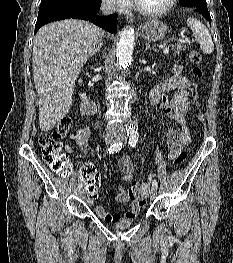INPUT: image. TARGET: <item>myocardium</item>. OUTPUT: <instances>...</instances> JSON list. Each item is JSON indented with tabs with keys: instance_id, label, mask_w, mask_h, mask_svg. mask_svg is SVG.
Listing matches in <instances>:
<instances>
[{
	"instance_id": "f54148a6",
	"label": "myocardium",
	"mask_w": 233,
	"mask_h": 263,
	"mask_svg": "<svg viewBox=\"0 0 233 263\" xmlns=\"http://www.w3.org/2000/svg\"><path fill=\"white\" fill-rule=\"evenodd\" d=\"M177 3V0H169L168 4L162 8V9H159V10H155V11H150V10H146V9H143L141 8L135 0H133V7L134 9L141 15L143 16H147V17H159V16H162L166 13H168L169 11H171L174 6L176 5Z\"/></svg>"
}]
</instances>
